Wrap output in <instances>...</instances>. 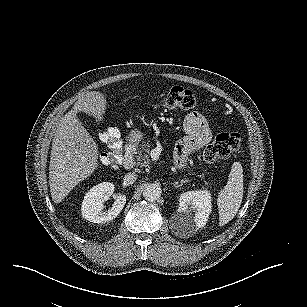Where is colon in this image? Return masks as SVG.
I'll return each mask as SVG.
<instances>
[{
    "label": "colon",
    "mask_w": 307,
    "mask_h": 307,
    "mask_svg": "<svg viewBox=\"0 0 307 307\" xmlns=\"http://www.w3.org/2000/svg\"><path fill=\"white\" fill-rule=\"evenodd\" d=\"M162 106L170 109L192 110L197 101L194 93L184 87H172L162 98ZM102 140L108 147V152L100 158V163L105 166H113L121 159V140L117 129L111 127L102 133ZM244 154L240 135L237 133H220L216 135L212 143L204 150L203 159L211 163L226 157L231 153Z\"/></svg>",
    "instance_id": "1"
}]
</instances>
